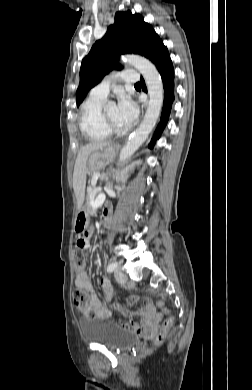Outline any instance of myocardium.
Here are the masks:
<instances>
[{
  "instance_id": "myocardium-1",
  "label": "myocardium",
  "mask_w": 252,
  "mask_h": 390,
  "mask_svg": "<svg viewBox=\"0 0 252 390\" xmlns=\"http://www.w3.org/2000/svg\"><path fill=\"white\" fill-rule=\"evenodd\" d=\"M101 119H102V122H103V125L104 127L112 134H116V133H122L124 132V128L123 127H117L116 125H114L107 117L106 113H105V109H103L101 111Z\"/></svg>"
}]
</instances>
